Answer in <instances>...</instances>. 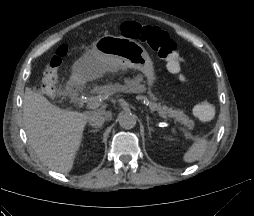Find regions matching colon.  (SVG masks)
<instances>
[{
  "label": "colon",
  "instance_id": "obj_1",
  "mask_svg": "<svg viewBox=\"0 0 254 216\" xmlns=\"http://www.w3.org/2000/svg\"><path fill=\"white\" fill-rule=\"evenodd\" d=\"M118 31L126 37L145 43L153 52L167 60L168 68L171 71H178L183 64V60L177 51L176 43L162 29L135 22H125L119 27ZM67 53L68 46L63 44L58 47L55 54L48 61L47 69L42 79V91L52 92L55 90L58 68ZM193 113L200 121L209 122L215 116V107L209 101H200L195 104Z\"/></svg>",
  "mask_w": 254,
  "mask_h": 216
}]
</instances>
